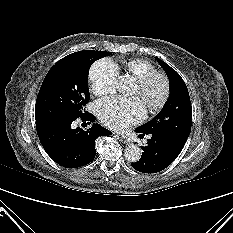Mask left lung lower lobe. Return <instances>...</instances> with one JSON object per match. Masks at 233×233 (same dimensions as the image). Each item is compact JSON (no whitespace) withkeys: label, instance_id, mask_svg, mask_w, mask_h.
Here are the masks:
<instances>
[{"label":"left lung lower lobe","instance_id":"obj_1","mask_svg":"<svg viewBox=\"0 0 233 233\" xmlns=\"http://www.w3.org/2000/svg\"><path fill=\"white\" fill-rule=\"evenodd\" d=\"M135 132L142 133L135 129ZM142 133L140 136H144ZM151 139L142 146L143 153L139 161L131 163L132 167L144 173H156L168 167L180 154L183 147L160 132L148 133Z\"/></svg>","mask_w":233,"mask_h":233}]
</instances>
